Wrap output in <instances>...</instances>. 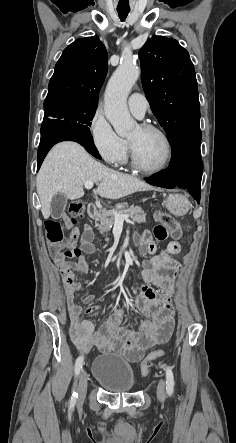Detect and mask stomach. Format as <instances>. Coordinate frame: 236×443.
<instances>
[{
    "mask_svg": "<svg viewBox=\"0 0 236 443\" xmlns=\"http://www.w3.org/2000/svg\"><path fill=\"white\" fill-rule=\"evenodd\" d=\"M166 207L175 215H183L189 209L187 198L181 194H171L166 199Z\"/></svg>",
    "mask_w": 236,
    "mask_h": 443,
    "instance_id": "obj_1",
    "label": "stomach"
}]
</instances>
